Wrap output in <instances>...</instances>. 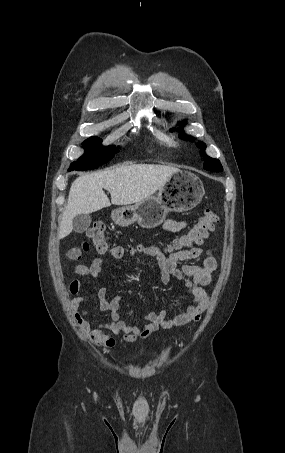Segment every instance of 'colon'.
Wrapping results in <instances>:
<instances>
[{"mask_svg":"<svg viewBox=\"0 0 285 453\" xmlns=\"http://www.w3.org/2000/svg\"><path fill=\"white\" fill-rule=\"evenodd\" d=\"M218 220L216 213L211 209H206L199 220L190 228V230L175 239L167 248V252L172 254L191 251L201 246L207 239L209 233L214 229ZM87 237L93 245L96 252L104 254L110 252L114 257L122 256L123 249L115 247L110 249L107 241L106 230L102 223L95 222L87 231ZM89 244L84 242L81 246L71 248L67 256L71 260L80 259L82 253L87 251Z\"/></svg>","mask_w":285,"mask_h":453,"instance_id":"colon-1","label":"colon"}]
</instances>
